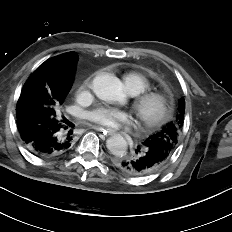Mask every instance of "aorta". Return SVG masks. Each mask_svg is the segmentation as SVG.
<instances>
[{
  "label": "aorta",
  "instance_id": "obj_1",
  "mask_svg": "<svg viewBox=\"0 0 232 232\" xmlns=\"http://www.w3.org/2000/svg\"><path fill=\"white\" fill-rule=\"evenodd\" d=\"M93 91L106 102H123L126 94L120 80L113 74L103 73L93 80ZM107 149L116 156H123L127 151V142L123 136L116 134L107 139Z\"/></svg>",
  "mask_w": 232,
  "mask_h": 232
}]
</instances>
